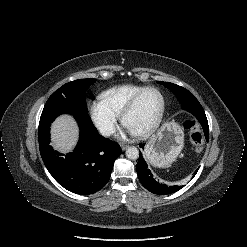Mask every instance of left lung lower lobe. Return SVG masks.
I'll return each instance as SVG.
<instances>
[{
  "label": "left lung lower lobe",
  "instance_id": "1",
  "mask_svg": "<svg viewBox=\"0 0 247 247\" xmlns=\"http://www.w3.org/2000/svg\"><path fill=\"white\" fill-rule=\"evenodd\" d=\"M202 128H203V134L205 139L208 141L209 139V127H208V121L207 118H202L201 120H199ZM144 147V146H142ZM136 171L139 177V180L141 182V184L150 192L154 193V194H158V195H166V194H171L174 193L178 190H180L181 188H183V186H168L166 184L161 183L156 177L155 175L152 174V172L150 171V169L148 168L142 153L139 154V160L138 163L136 165Z\"/></svg>",
  "mask_w": 247,
  "mask_h": 247
}]
</instances>
